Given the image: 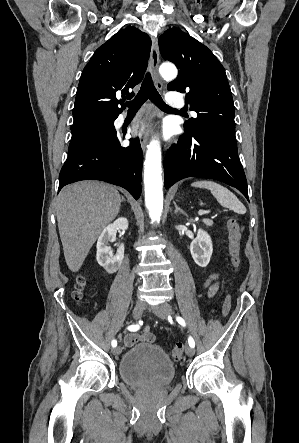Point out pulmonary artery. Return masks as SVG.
Wrapping results in <instances>:
<instances>
[{"label": "pulmonary artery", "instance_id": "pulmonary-artery-1", "mask_svg": "<svg viewBox=\"0 0 299 443\" xmlns=\"http://www.w3.org/2000/svg\"><path fill=\"white\" fill-rule=\"evenodd\" d=\"M167 104L173 108H181L183 106V97L180 93L170 92L165 96Z\"/></svg>", "mask_w": 299, "mask_h": 443}]
</instances>
